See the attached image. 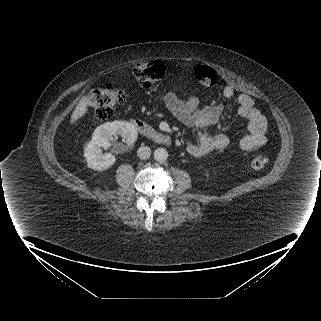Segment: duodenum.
<instances>
[{
  "label": "duodenum",
  "mask_w": 321,
  "mask_h": 321,
  "mask_svg": "<svg viewBox=\"0 0 321 321\" xmlns=\"http://www.w3.org/2000/svg\"><path fill=\"white\" fill-rule=\"evenodd\" d=\"M131 123L142 136L149 138L155 143L165 146H169L171 144V138L168 134L155 130L142 119L135 118Z\"/></svg>",
  "instance_id": "1"
}]
</instances>
